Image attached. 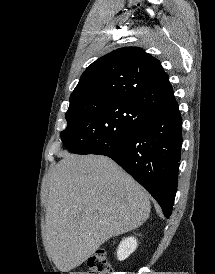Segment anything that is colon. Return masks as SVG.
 <instances>
[{"instance_id": "1", "label": "colon", "mask_w": 215, "mask_h": 274, "mask_svg": "<svg viewBox=\"0 0 215 274\" xmlns=\"http://www.w3.org/2000/svg\"><path fill=\"white\" fill-rule=\"evenodd\" d=\"M110 265L107 260V255L104 250L99 249L91 257L88 263L86 272H77L74 274H109Z\"/></svg>"}]
</instances>
